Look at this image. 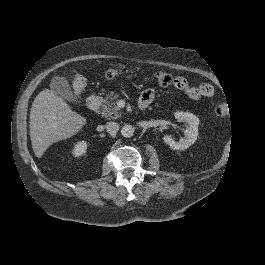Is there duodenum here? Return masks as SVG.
I'll return each instance as SVG.
<instances>
[{"instance_id":"1","label":"duodenum","mask_w":265,"mask_h":265,"mask_svg":"<svg viewBox=\"0 0 265 265\" xmlns=\"http://www.w3.org/2000/svg\"><path fill=\"white\" fill-rule=\"evenodd\" d=\"M100 97L96 96V95H92L90 96L87 101H86V106L90 111H97L99 106H100ZM139 107L141 109H144L145 106L143 105H139Z\"/></svg>"}]
</instances>
